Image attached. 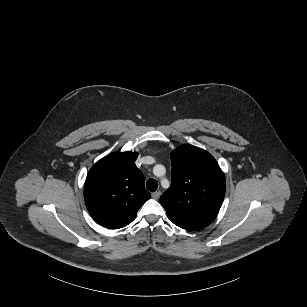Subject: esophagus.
I'll list each match as a JSON object with an SVG mask.
<instances>
[{
    "mask_svg": "<svg viewBox=\"0 0 307 307\" xmlns=\"http://www.w3.org/2000/svg\"><path fill=\"white\" fill-rule=\"evenodd\" d=\"M160 195H161V191L153 192V193H152V198L158 199Z\"/></svg>",
    "mask_w": 307,
    "mask_h": 307,
    "instance_id": "obj_1",
    "label": "esophagus"
}]
</instances>
